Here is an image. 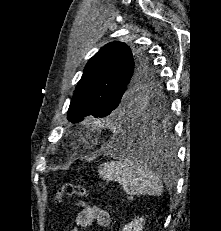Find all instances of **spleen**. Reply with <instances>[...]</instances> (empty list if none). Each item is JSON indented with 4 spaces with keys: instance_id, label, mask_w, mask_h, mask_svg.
<instances>
[{
    "instance_id": "1",
    "label": "spleen",
    "mask_w": 221,
    "mask_h": 231,
    "mask_svg": "<svg viewBox=\"0 0 221 231\" xmlns=\"http://www.w3.org/2000/svg\"><path fill=\"white\" fill-rule=\"evenodd\" d=\"M98 173L104 180L121 183L130 195L160 196L163 191L160 177L147 165L130 157L104 163L99 166Z\"/></svg>"
}]
</instances>
